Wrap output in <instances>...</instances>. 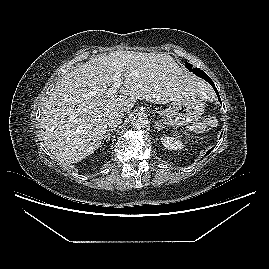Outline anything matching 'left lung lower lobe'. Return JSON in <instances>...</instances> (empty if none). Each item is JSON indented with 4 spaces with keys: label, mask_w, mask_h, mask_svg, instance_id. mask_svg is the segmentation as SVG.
<instances>
[{
    "label": "left lung lower lobe",
    "mask_w": 269,
    "mask_h": 269,
    "mask_svg": "<svg viewBox=\"0 0 269 269\" xmlns=\"http://www.w3.org/2000/svg\"><path fill=\"white\" fill-rule=\"evenodd\" d=\"M194 74L197 75V76H199L200 78H203L204 80H206L214 88V90H215V92H216V94L218 96V100L221 102V99L219 97L218 91H217V89H216L213 81L209 78V76L206 73H204L202 70H200L199 68H198V70ZM212 149H210L207 152V154H209L212 151Z\"/></svg>",
    "instance_id": "obj_1"
}]
</instances>
